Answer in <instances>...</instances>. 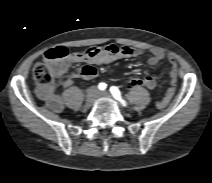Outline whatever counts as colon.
<instances>
[{
    "label": "colon",
    "mask_w": 212,
    "mask_h": 183,
    "mask_svg": "<svg viewBox=\"0 0 212 183\" xmlns=\"http://www.w3.org/2000/svg\"><path fill=\"white\" fill-rule=\"evenodd\" d=\"M68 56V50L65 47L59 46L48 50L44 55V61L37 63L33 68V78L35 82L42 86H50L56 77L52 69L54 63L64 60ZM127 89L134 87H147V82L141 78H131L125 82Z\"/></svg>",
    "instance_id": "1"
}]
</instances>
